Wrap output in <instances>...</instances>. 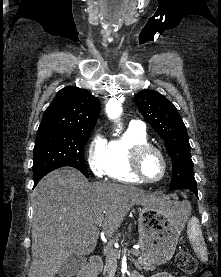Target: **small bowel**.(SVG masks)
<instances>
[{
	"label": "small bowel",
	"instance_id": "small-bowel-1",
	"mask_svg": "<svg viewBox=\"0 0 221 277\" xmlns=\"http://www.w3.org/2000/svg\"><path fill=\"white\" fill-rule=\"evenodd\" d=\"M136 277H142V276H136ZM153 277H185V276H177L171 273L163 272V273H158Z\"/></svg>",
	"mask_w": 221,
	"mask_h": 277
}]
</instances>
